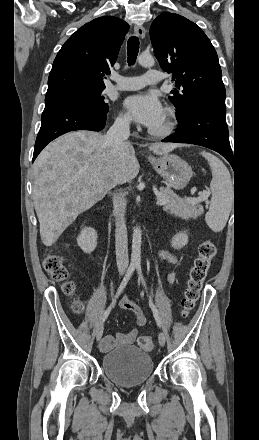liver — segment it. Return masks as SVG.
<instances>
[{
	"mask_svg": "<svg viewBox=\"0 0 259 440\" xmlns=\"http://www.w3.org/2000/svg\"><path fill=\"white\" fill-rule=\"evenodd\" d=\"M178 145L154 143L149 150L165 155ZM139 162L128 143L115 151L105 135L73 131L52 141L33 166V200L45 246H52L77 216L90 209L117 184L139 173Z\"/></svg>",
	"mask_w": 259,
	"mask_h": 440,
	"instance_id": "liver-1",
	"label": "liver"
}]
</instances>
